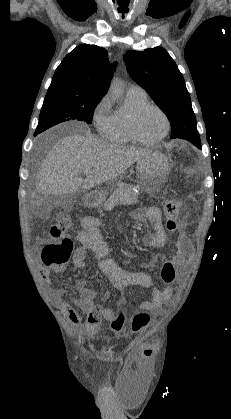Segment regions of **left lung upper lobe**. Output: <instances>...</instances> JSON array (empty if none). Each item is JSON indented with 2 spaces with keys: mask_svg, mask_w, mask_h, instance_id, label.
<instances>
[{
  "mask_svg": "<svg viewBox=\"0 0 231 419\" xmlns=\"http://www.w3.org/2000/svg\"><path fill=\"white\" fill-rule=\"evenodd\" d=\"M128 73L166 113L171 138L200 141L196 117L184 78L168 52L161 48L128 51L124 55Z\"/></svg>",
  "mask_w": 231,
  "mask_h": 419,
  "instance_id": "left-lung-upper-lobe-1",
  "label": "left lung upper lobe"
}]
</instances>
